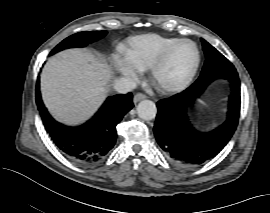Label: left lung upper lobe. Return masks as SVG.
I'll return each mask as SVG.
<instances>
[{"mask_svg": "<svg viewBox=\"0 0 270 213\" xmlns=\"http://www.w3.org/2000/svg\"><path fill=\"white\" fill-rule=\"evenodd\" d=\"M206 61L199 78L193 85L206 82L234 66L219 51L202 39Z\"/></svg>", "mask_w": 270, "mask_h": 213, "instance_id": "1", "label": "left lung upper lobe"}]
</instances>
